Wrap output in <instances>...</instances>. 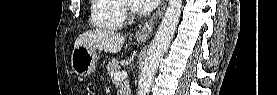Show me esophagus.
<instances>
[{
    "mask_svg": "<svg viewBox=\"0 0 277 95\" xmlns=\"http://www.w3.org/2000/svg\"><path fill=\"white\" fill-rule=\"evenodd\" d=\"M167 6V0H163L160 7L147 19L142 28H140L136 33L135 37L137 39H146L151 31L153 30L157 20L164 13Z\"/></svg>",
    "mask_w": 277,
    "mask_h": 95,
    "instance_id": "obj_1",
    "label": "esophagus"
}]
</instances>
